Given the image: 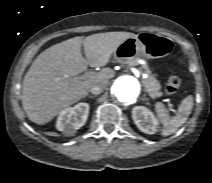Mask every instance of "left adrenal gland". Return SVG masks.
I'll return each mask as SVG.
<instances>
[{"instance_id": "a2214340", "label": "left adrenal gland", "mask_w": 212, "mask_h": 183, "mask_svg": "<svg viewBox=\"0 0 212 183\" xmlns=\"http://www.w3.org/2000/svg\"><path fill=\"white\" fill-rule=\"evenodd\" d=\"M144 101H148V98H146V95L143 96Z\"/></svg>"}]
</instances>
